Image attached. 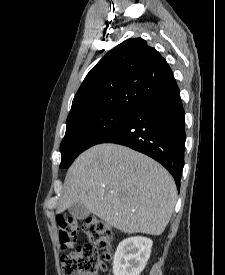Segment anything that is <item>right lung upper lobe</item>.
<instances>
[{"label": "right lung upper lobe", "mask_w": 225, "mask_h": 275, "mask_svg": "<svg viewBox=\"0 0 225 275\" xmlns=\"http://www.w3.org/2000/svg\"><path fill=\"white\" fill-rule=\"evenodd\" d=\"M178 88L166 60L141 38L109 51L87 74L67 123L92 114L132 111L143 102Z\"/></svg>", "instance_id": "obj_1"}]
</instances>
